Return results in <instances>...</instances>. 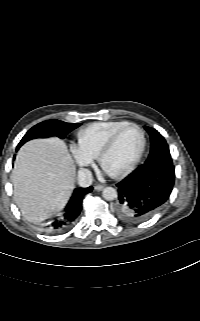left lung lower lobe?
<instances>
[{
	"label": "left lung lower lobe",
	"instance_id": "obj_1",
	"mask_svg": "<svg viewBox=\"0 0 200 321\" xmlns=\"http://www.w3.org/2000/svg\"><path fill=\"white\" fill-rule=\"evenodd\" d=\"M175 181L173 163H144L117 184L116 211L126 223L147 220L169 198Z\"/></svg>",
	"mask_w": 200,
	"mask_h": 321
}]
</instances>
